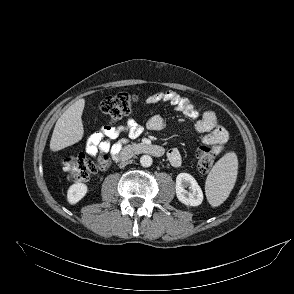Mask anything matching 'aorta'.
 I'll use <instances>...</instances> for the list:
<instances>
[{
  "mask_svg": "<svg viewBox=\"0 0 294 294\" xmlns=\"http://www.w3.org/2000/svg\"><path fill=\"white\" fill-rule=\"evenodd\" d=\"M140 163L143 167H150L152 165V158L149 155H143L140 158Z\"/></svg>",
  "mask_w": 294,
  "mask_h": 294,
  "instance_id": "obj_1",
  "label": "aorta"
}]
</instances>
